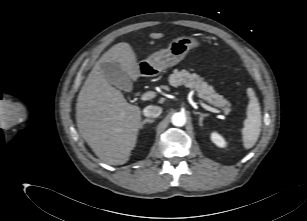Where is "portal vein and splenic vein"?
Returning a JSON list of instances; mask_svg holds the SVG:
<instances>
[{
    "mask_svg": "<svg viewBox=\"0 0 307 221\" xmlns=\"http://www.w3.org/2000/svg\"><path fill=\"white\" fill-rule=\"evenodd\" d=\"M155 96H156L155 92L149 91V92L144 93V94L141 96V100H142V101L151 100V99L155 98ZM200 105H201L204 109H206V110H208V111H210V112H213V113H221L220 110L215 109V108H213V107H211V106H209V105H207V104H205V103H203V102H200Z\"/></svg>",
    "mask_w": 307,
    "mask_h": 221,
    "instance_id": "portal-vein-and-splenic-vein-1",
    "label": "portal vein and splenic vein"
}]
</instances>
